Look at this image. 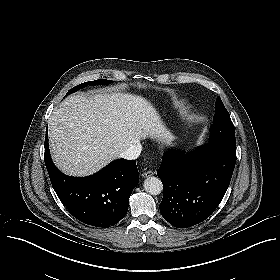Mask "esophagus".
I'll list each match as a JSON object with an SVG mask.
<instances>
[{"label": "esophagus", "instance_id": "34e87169", "mask_svg": "<svg viewBox=\"0 0 280 280\" xmlns=\"http://www.w3.org/2000/svg\"><path fill=\"white\" fill-rule=\"evenodd\" d=\"M154 174H155L154 171H147V172H143V173L141 174V176H142L143 178H147V177L153 176Z\"/></svg>", "mask_w": 280, "mask_h": 280}]
</instances>
